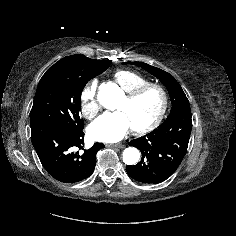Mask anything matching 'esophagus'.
<instances>
[{
	"label": "esophagus",
	"mask_w": 236,
	"mask_h": 236,
	"mask_svg": "<svg viewBox=\"0 0 236 236\" xmlns=\"http://www.w3.org/2000/svg\"><path fill=\"white\" fill-rule=\"evenodd\" d=\"M108 147H117V148H123L124 145L122 143H116V144H109Z\"/></svg>",
	"instance_id": "esophagus-1"
}]
</instances>
